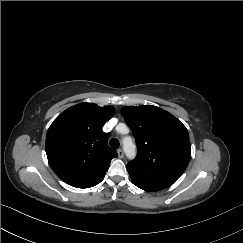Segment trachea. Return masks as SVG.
I'll list each match as a JSON object with an SVG mask.
<instances>
[{
  "mask_svg": "<svg viewBox=\"0 0 243 243\" xmlns=\"http://www.w3.org/2000/svg\"><path fill=\"white\" fill-rule=\"evenodd\" d=\"M109 144L110 146L113 148V149H118L119 148V140L116 139V138H112L110 141H109Z\"/></svg>",
  "mask_w": 243,
  "mask_h": 243,
  "instance_id": "obj_1",
  "label": "trachea"
}]
</instances>
